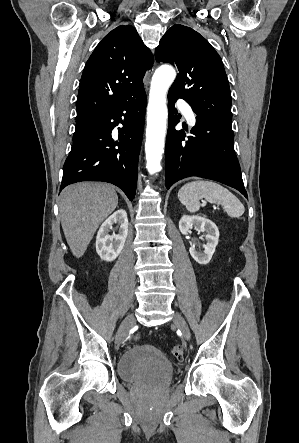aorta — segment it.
I'll use <instances>...</instances> for the list:
<instances>
[{
    "label": "aorta",
    "mask_w": 299,
    "mask_h": 443,
    "mask_svg": "<svg viewBox=\"0 0 299 443\" xmlns=\"http://www.w3.org/2000/svg\"><path fill=\"white\" fill-rule=\"evenodd\" d=\"M175 77V70L168 65L160 66L152 77L145 142L146 168L151 175L162 168L168 117L166 94Z\"/></svg>",
    "instance_id": "762f6f07"
}]
</instances>
